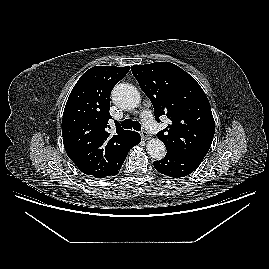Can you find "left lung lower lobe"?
<instances>
[{"instance_id":"left-lung-lower-lobe-1","label":"left lung lower lobe","mask_w":269,"mask_h":269,"mask_svg":"<svg viewBox=\"0 0 269 269\" xmlns=\"http://www.w3.org/2000/svg\"><path fill=\"white\" fill-rule=\"evenodd\" d=\"M203 158L201 156H184L167 153L164 159L154 161V167L164 175L179 178L195 171Z\"/></svg>"}]
</instances>
